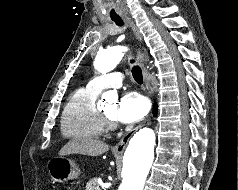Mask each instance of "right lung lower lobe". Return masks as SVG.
Wrapping results in <instances>:
<instances>
[{"label":"right lung lower lobe","instance_id":"1","mask_svg":"<svg viewBox=\"0 0 238 190\" xmlns=\"http://www.w3.org/2000/svg\"><path fill=\"white\" fill-rule=\"evenodd\" d=\"M153 112H154V115L157 114V106L154 107V111Z\"/></svg>","mask_w":238,"mask_h":190}]
</instances>
